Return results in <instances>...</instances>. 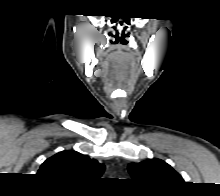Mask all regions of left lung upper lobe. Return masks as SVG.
Masks as SVG:
<instances>
[{
    "mask_svg": "<svg viewBox=\"0 0 220 196\" xmlns=\"http://www.w3.org/2000/svg\"><path fill=\"white\" fill-rule=\"evenodd\" d=\"M132 178L140 184L157 188H175L183 178L170 165L160 159L145 160L128 165Z\"/></svg>",
    "mask_w": 220,
    "mask_h": 196,
    "instance_id": "5c2ea615",
    "label": "left lung upper lobe"
}]
</instances>
